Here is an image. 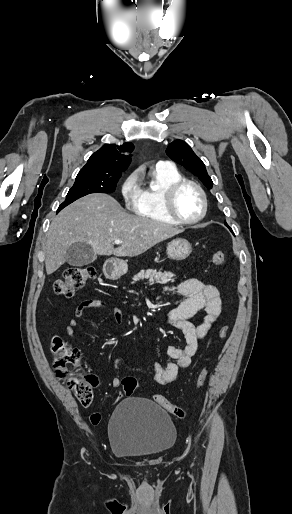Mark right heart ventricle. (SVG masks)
<instances>
[{"label": "right heart ventricle", "instance_id": "e07e8e85", "mask_svg": "<svg viewBox=\"0 0 292 514\" xmlns=\"http://www.w3.org/2000/svg\"><path fill=\"white\" fill-rule=\"evenodd\" d=\"M152 178L159 184V187L157 189H153L152 187L148 186L142 188L140 201L134 208L133 212L138 216L150 219L158 223L172 224L173 222L163 211L160 201V192L164 188L179 181L181 176L176 170L160 172L158 169H156L152 173Z\"/></svg>", "mask_w": 292, "mask_h": 514}]
</instances>
